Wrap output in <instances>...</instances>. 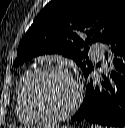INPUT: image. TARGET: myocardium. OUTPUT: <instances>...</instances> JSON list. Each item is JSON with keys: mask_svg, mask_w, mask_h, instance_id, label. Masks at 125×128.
Returning a JSON list of instances; mask_svg holds the SVG:
<instances>
[{"mask_svg": "<svg viewBox=\"0 0 125 128\" xmlns=\"http://www.w3.org/2000/svg\"><path fill=\"white\" fill-rule=\"evenodd\" d=\"M46 73L62 74L64 76L68 77L72 81V83L75 87L76 95H75V99H74L73 103L66 110H64L60 113L45 112V111L41 110L34 103V101L32 99L30 89H31L33 82L40 75L46 74ZM23 92H24V99H25L26 106H27L28 110L31 112V114H33V116L36 119H38L39 121L47 122V123L59 122V121L66 119L70 115H72L77 110V108L81 102V99H82V88H81L80 84L78 83V81L75 79L73 74L68 69H66L63 66H59V65H43V66L37 67V68L33 69L32 71H30L26 77Z\"/></svg>", "mask_w": 125, "mask_h": 128, "instance_id": "obj_1", "label": "myocardium"}]
</instances>
